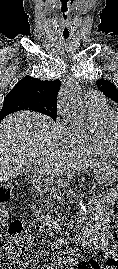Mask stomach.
<instances>
[{"label": "stomach", "mask_w": 118, "mask_h": 269, "mask_svg": "<svg viewBox=\"0 0 118 269\" xmlns=\"http://www.w3.org/2000/svg\"><path fill=\"white\" fill-rule=\"evenodd\" d=\"M94 176L99 184L111 186L118 179V170L110 164L103 163L94 168Z\"/></svg>", "instance_id": "0dacf381"}]
</instances>
